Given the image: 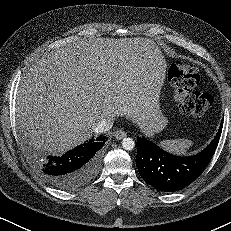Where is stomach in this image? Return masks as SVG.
<instances>
[{
    "label": "stomach",
    "mask_w": 231,
    "mask_h": 231,
    "mask_svg": "<svg viewBox=\"0 0 231 231\" xmlns=\"http://www.w3.org/2000/svg\"><path fill=\"white\" fill-rule=\"evenodd\" d=\"M166 123H167L166 118L161 117V118L157 119L153 124L152 131L153 132L161 131L165 127Z\"/></svg>",
    "instance_id": "1"
}]
</instances>
